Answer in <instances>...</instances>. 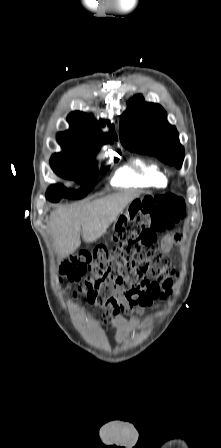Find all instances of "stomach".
Listing matches in <instances>:
<instances>
[{
  "label": "stomach",
  "mask_w": 221,
  "mask_h": 448,
  "mask_svg": "<svg viewBox=\"0 0 221 448\" xmlns=\"http://www.w3.org/2000/svg\"><path fill=\"white\" fill-rule=\"evenodd\" d=\"M133 203H136V201L133 202ZM131 206H132V203H130V204L128 205V212L131 210Z\"/></svg>",
  "instance_id": "stomach-1"
}]
</instances>
